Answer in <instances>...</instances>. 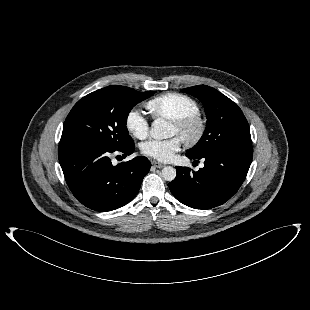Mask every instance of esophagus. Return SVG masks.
<instances>
[{"label": "esophagus", "mask_w": 310, "mask_h": 310, "mask_svg": "<svg viewBox=\"0 0 310 310\" xmlns=\"http://www.w3.org/2000/svg\"><path fill=\"white\" fill-rule=\"evenodd\" d=\"M152 165H153L155 168H163V167H164L163 164H161V163H159V162H157V161H153V162H152Z\"/></svg>", "instance_id": "obj_1"}]
</instances>
